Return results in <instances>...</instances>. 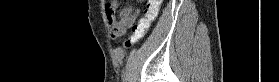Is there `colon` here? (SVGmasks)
I'll return each mask as SVG.
<instances>
[{"label": "colon", "mask_w": 279, "mask_h": 82, "mask_svg": "<svg viewBox=\"0 0 279 82\" xmlns=\"http://www.w3.org/2000/svg\"><path fill=\"white\" fill-rule=\"evenodd\" d=\"M161 3L162 0H148L146 2L145 16L132 26L131 35L123 41V46L125 48L132 47L144 37L150 23L156 19L158 8Z\"/></svg>", "instance_id": "colon-1"}]
</instances>
